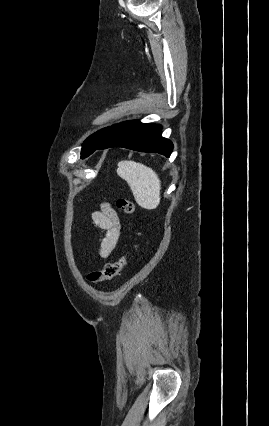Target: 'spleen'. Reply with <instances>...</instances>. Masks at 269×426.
<instances>
[{
  "instance_id": "obj_1",
  "label": "spleen",
  "mask_w": 269,
  "mask_h": 426,
  "mask_svg": "<svg viewBox=\"0 0 269 426\" xmlns=\"http://www.w3.org/2000/svg\"><path fill=\"white\" fill-rule=\"evenodd\" d=\"M117 174L124 179L139 206L155 209L160 204L161 181L150 167L131 160L118 163Z\"/></svg>"
}]
</instances>
